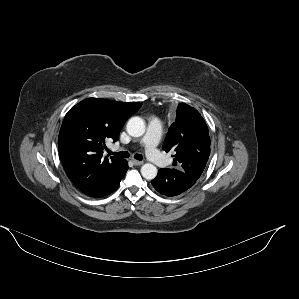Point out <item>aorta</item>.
<instances>
[{
	"label": "aorta",
	"instance_id": "obj_1",
	"mask_svg": "<svg viewBox=\"0 0 299 299\" xmlns=\"http://www.w3.org/2000/svg\"><path fill=\"white\" fill-rule=\"evenodd\" d=\"M145 122L140 117H132L129 119L126 130L132 137H140L145 133ZM141 174L147 180H152L157 175V168L153 164L146 163L141 167Z\"/></svg>",
	"mask_w": 299,
	"mask_h": 299
}]
</instances>
